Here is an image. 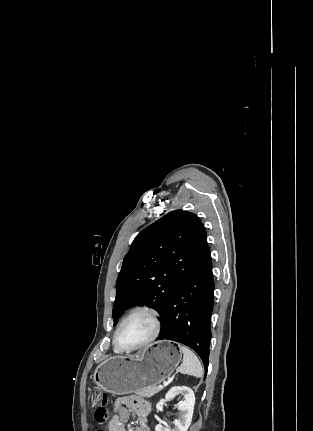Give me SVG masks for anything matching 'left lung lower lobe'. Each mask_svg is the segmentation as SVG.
Returning <instances> with one entry per match:
<instances>
[{
    "label": "left lung lower lobe",
    "mask_w": 313,
    "mask_h": 431,
    "mask_svg": "<svg viewBox=\"0 0 313 431\" xmlns=\"http://www.w3.org/2000/svg\"><path fill=\"white\" fill-rule=\"evenodd\" d=\"M214 280L210 248L169 299L160 321L157 340L169 339L191 347L207 370L211 340L210 319L213 310Z\"/></svg>",
    "instance_id": "obj_1"
}]
</instances>
